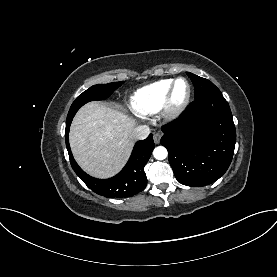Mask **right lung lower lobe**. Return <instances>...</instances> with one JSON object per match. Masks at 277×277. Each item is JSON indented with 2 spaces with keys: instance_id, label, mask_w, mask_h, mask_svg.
<instances>
[{
  "instance_id": "obj_1",
  "label": "right lung lower lobe",
  "mask_w": 277,
  "mask_h": 277,
  "mask_svg": "<svg viewBox=\"0 0 277 277\" xmlns=\"http://www.w3.org/2000/svg\"><path fill=\"white\" fill-rule=\"evenodd\" d=\"M66 124L65 141L70 163L79 178L95 193L111 198L131 197L142 192L147 185V177L144 166L149 160L155 147L153 135L138 141L133 149L131 157L120 173L109 179H97L86 174L76 163L69 146V128Z\"/></svg>"
}]
</instances>
